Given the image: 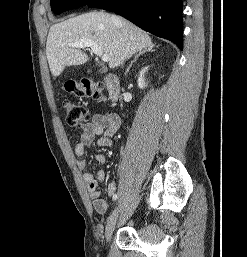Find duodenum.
Returning a JSON list of instances; mask_svg holds the SVG:
<instances>
[{"mask_svg": "<svg viewBox=\"0 0 247 257\" xmlns=\"http://www.w3.org/2000/svg\"><path fill=\"white\" fill-rule=\"evenodd\" d=\"M103 83L107 88L109 100L111 102H115L118 98L120 91L118 78L112 74H107L103 77Z\"/></svg>", "mask_w": 247, "mask_h": 257, "instance_id": "duodenum-1", "label": "duodenum"}]
</instances>
